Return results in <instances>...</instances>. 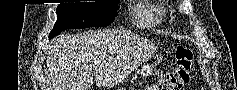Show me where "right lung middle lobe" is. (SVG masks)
<instances>
[{
	"mask_svg": "<svg viewBox=\"0 0 237 90\" xmlns=\"http://www.w3.org/2000/svg\"><path fill=\"white\" fill-rule=\"evenodd\" d=\"M118 0L95 2L60 3L57 7V21L49 39L66 29L104 27L113 22Z\"/></svg>",
	"mask_w": 237,
	"mask_h": 90,
	"instance_id": "obj_1",
	"label": "right lung middle lobe"
}]
</instances>
